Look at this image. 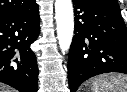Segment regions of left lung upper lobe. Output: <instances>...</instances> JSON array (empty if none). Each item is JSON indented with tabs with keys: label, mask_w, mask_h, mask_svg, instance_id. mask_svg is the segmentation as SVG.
I'll list each match as a JSON object with an SVG mask.
<instances>
[{
	"label": "left lung upper lobe",
	"mask_w": 127,
	"mask_h": 92,
	"mask_svg": "<svg viewBox=\"0 0 127 92\" xmlns=\"http://www.w3.org/2000/svg\"><path fill=\"white\" fill-rule=\"evenodd\" d=\"M83 1L105 8L120 10L117 0H83Z\"/></svg>",
	"instance_id": "5c2ea615"
}]
</instances>
